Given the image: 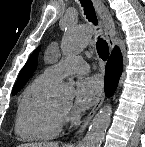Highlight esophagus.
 Segmentation results:
<instances>
[{
    "mask_svg": "<svg viewBox=\"0 0 145 147\" xmlns=\"http://www.w3.org/2000/svg\"><path fill=\"white\" fill-rule=\"evenodd\" d=\"M95 9L102 21L104 32L108 41V44L111 49L115 47V27L112 15L107 7L104 5L102 0H93ZM105 99V95L103 94L95 103L94 107L90 111V113L85 118L83 124L81 125L80 129L78 130L77 134L81 135L86 130L87 126L89 125L90 121L94 117L95 113L101 107Z\"/></svg>",
    "mask_w": 145,
    "mask_h": 147,
    "instance_id": "1",
    "label": "esophagus"
}]
</instances>
